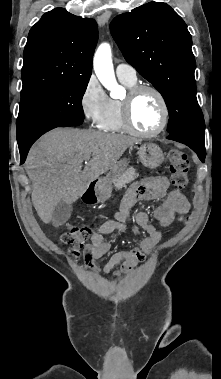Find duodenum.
Instances as JSON below:
<instances>
[{
    "label": "duodenum",
    "instance_id": "duodenum-1",
    "mask_svg": "<svg viewBox=\"0 0 221 379\" xmlns=\"http://www.w3.org/2000/svg\"><path fill=\"white\" fill-rule=\"evenodd\" d=\"M96 181L92 182L89 187L87 188L84 196L91 201H95L96 199Z\"/></svg>",
    "mask_w": 221,
    "mask_h": 379
}]
</instances>
